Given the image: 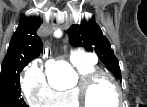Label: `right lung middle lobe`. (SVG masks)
Segmentation results:
<instances>
[{
	"instance_id": "1",
	"label": "right lung middle lobe",
	"mask_w": 147,
	"mask_h": 107,
	"mask_svg": "<svg viewBox=\"0 0 147 107\" xmlns=\"http://www.w3.org/2000/svg\"><path fill=\"white\" fill-rule=\"evenodd\" d=\"M27 64H23L18 72L0 76V107H28L21 98L19 83L20 73Z\"/></svg>"
}]
</instances>
